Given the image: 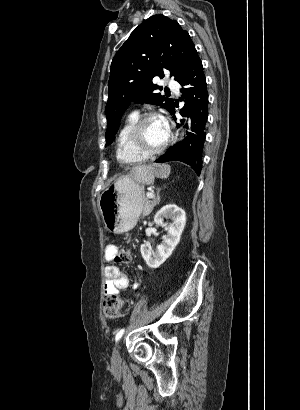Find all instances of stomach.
Masks as SVG:
<instances>
[{"instance_id":"obj_1","label":"stomach","mask_w":300,"mask_h":410,"mask_svg":"<svg viewBox=\"0 0 300 410\" xmlns=\"http://www.w3.org/2000/svg\"><path fill=\"white\" fill-rule=\"evenodd\" d=\"M169 174L170 167L165 164L137 167L107 187L99 198L106 230L117 234L131 230L142 212L143 185L152 184L155 177L166 178Z\"/></svg>"}]
</instances>
